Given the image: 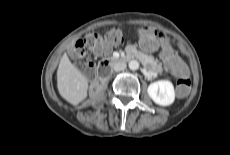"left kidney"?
I'll use <instances>...</instances> for the list:
<instances>
[{
	"instance_id": "1",
	"label": "left kidney",
	"mask_w": 230,
	"mask_h": 155,
	"mask_svg": "<svg viewBox=\"0 0 230 155\" xmlns=\"http://www.w3.org/2000/svg\"><path fill=\"white\" fill-rule=\"evenodd\" d=\"M147 92L151 99L161 106L171 105L175 99L173 84L168 80H160L151 83L148 86Z\"/></svg>"
}]
</instances>
